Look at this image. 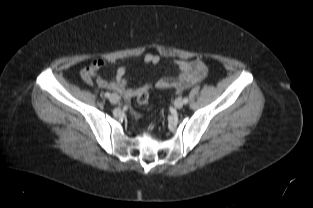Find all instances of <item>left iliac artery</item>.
I'll return each mask as SVG.
<instances>
[{
    "mask_svg": "<svg viewBox=\"0 0 313 208\" xmlns=\"http://www.w3.org/2000/svg\"><path fill=\"white\" fill-rule=\"evenodd\" d=\"M188 98L187 97H185L184 99H183V103H185V104H187L188 103Z\"/></svg>",
    "mask_w": 313,
    "mask_h": 208,
    "instance_id": "44dca946",
    "label": "left iliac artery"
}]
</instances>
